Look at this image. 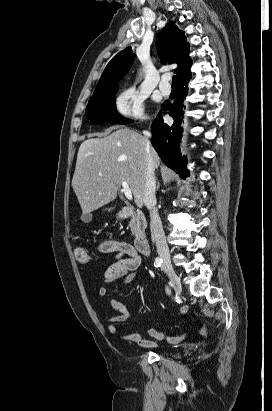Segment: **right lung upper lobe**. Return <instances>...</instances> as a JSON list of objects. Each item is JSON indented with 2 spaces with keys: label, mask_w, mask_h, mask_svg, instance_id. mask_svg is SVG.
<instances>
[{
  "label": "right lung upper lobe",
  "mask_w": 272,
  "mask_h": 411,
  "mask_svg": "<svg viewBox=\"0 0 272 411\" xmlns=\"http://www.w3.org/2000/svg\"><path fill=\"white\" fill-rule=\"evenodd\" d=\"M156 47L163 63H177L175 72L178 83L187 82L191 78L192 60L189 57V44L183 31L179 30L175 22H171L159 33ZM135 54L131 47L119 52L106 66L97 88H105L116 84L129 71L133 64Z\"/></svg>",
  "instance_id": "cb5924a9"
}]
</instances>
